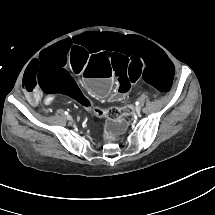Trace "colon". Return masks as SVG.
Returning a JSON list of instances; mask_svg holds the SVG:
<instances>
[{
    "label": "colon",
    "instance_id": "obj_1",
    "mask_svg": "<svg viewBox=\"0 0 215 215\" xmlns=\"http://www.w3.org/2000/svg\"><path fill=\"white\" fill-rule=\"evenodd\" d=\"M49 101H50L49 98H46L44 100L45 103H49ZM88 110L90 114L94 117L105 115L110 119H118L119 117L125 114H128L130 112V109L128 107L126 108L110 107L107 110H103L96 105H90Z\"/></svg>",
    "mask_w": 215,
    "mask_h": 215
}]
</instances>
